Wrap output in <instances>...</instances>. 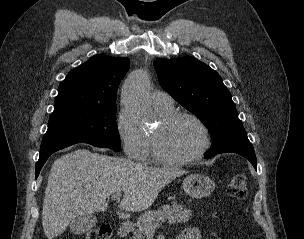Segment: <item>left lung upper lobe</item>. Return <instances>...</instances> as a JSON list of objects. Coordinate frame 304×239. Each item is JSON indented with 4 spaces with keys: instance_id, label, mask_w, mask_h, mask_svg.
Masks as SVG:
<instances>
[{
    "instance_id": "1",
    "label": "left lung upper lobe",
    "mask_w": 304,
    "mask_h": 239,
    "mask_svg": "<svg viewBox=\"0 0 304 239\" xmlns=\"http://www.w3.org/2000/svg\"><path fill=\"white\" fill-rule=\"evenodd\" d=\"M154 67L161 87L209 129L213 147L207 154L254 152L231 93L216 71L193 57L159 58Z\"/></svg>"
}]
</instances>
